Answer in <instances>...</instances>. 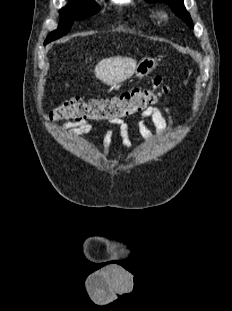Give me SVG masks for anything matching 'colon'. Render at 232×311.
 I'll return each mask as SVG.
<instances>
[{"instance_id": "colon-1", "label": "colon", "mask_w": 232, "mask_h": 311, "mask_svg": "<svg viewBox=\"0 0 232 311\" xmlns=\"http://www.w3.org/2000/svg\"><path fill=\"white\" fill-rule=\"evenodd\" d=\"M169 90L163 76H156L151 86L136 88L112 98L90 99L72 97L55 107L51 121H119L143 112Z\"/></svg>"}]
</instances>
